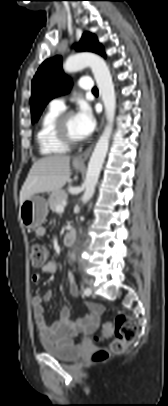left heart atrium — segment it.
I'll list each match as a JSON object with an SVG mask.
<instances>
[{
	"mask_svg": "<svg viewBox=\"0 0 168 406\" xmlns=\"http://www.w3.org/2000/svg\"><path fill=\"white\" fill-rule=\"evenodd\" d=\"M74 116L81 138L90 136L96 126L91 109L87 105H80Z\"/></svg>",
	"mask_w": 168,
	"mask_h": 406,
	"instance_id": "39dd6f15",
	"label": "left heart atrium"
}]
</instances>
